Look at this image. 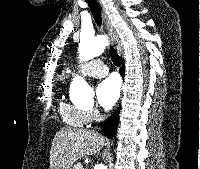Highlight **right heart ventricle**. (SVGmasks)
<instances>
[{
	"label": "right heart ventricle",
	"mask_w": 200,
	"mask_h": 169,
	"mask_svg": "<svg viewBox=\"0 0 200 169\" xmlns=\"http://www.w3.org/2000/svg\"><path fill=\"white\" fill-rule=\"evenodd\" d=\"M59 110L63 121L73 127H83L86 124L84 110L66 102H61Z\"/></svg>",
	"instance_id": "e07e8e85"
}]
</instances>
